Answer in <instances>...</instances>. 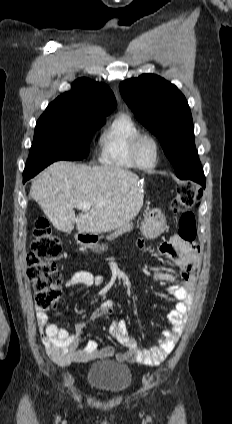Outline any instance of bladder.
<instances>
[{
	"instance_id": "bladder-1",
	"label": "bladder",
	"mask_w": 232,
	"mask_h": 424,
	"mask_svg": "<svg viewBox=\"0 0 232 424\" xmlns=\"http://www.w3.org/2000/svg\"><path fill=\"white\" fill-rule=\"evenodd\" d=\"M132 381V371L126 364L103 360L91 364L86 374L87 384L108 395H118L128 389Z\"/></svg>"
}]
</instances>
